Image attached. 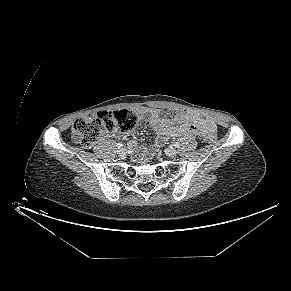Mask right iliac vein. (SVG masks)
<instances>
[{
    "label": "right iliac vein",
    "instance_id": "1",
    "mask_svg": "<svg viewBox=\"0 0 291 291\" xmlns=\"http://www.w3.org/2000/svg\"><path fill=\"white\" fill-rule=\"evenodd\" d=\"M127 151L125 148H120L117 150V154L120 156V157H124L126 155Z\"/></svg>",
    "mask_w": 291,
    "mask_h": 291
}]
</instances>
